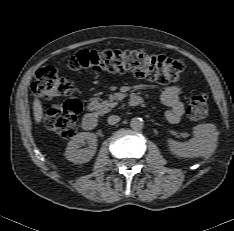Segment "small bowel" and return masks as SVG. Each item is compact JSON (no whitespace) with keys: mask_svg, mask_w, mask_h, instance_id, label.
<instances>
[{"mask_svg":"<svg viewBox=\"0 0 234 231\" xmlns=\"http://www.w3.org/2000/svg\"><path fill=\"white\" fill-rule=\"evenodd\" d=\"M181 87L179 85H168L164 87L161 99L168 106L166 119L172 124L180 121L184 112V105L181 101Z\"/></svg>","mask_w":234,"mask_h":231,"instance_id":"obj_1","label":"small bowel"}]
</instances>
